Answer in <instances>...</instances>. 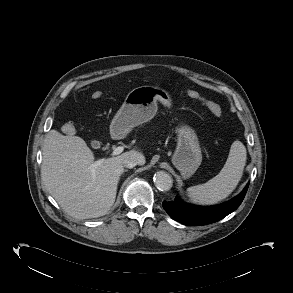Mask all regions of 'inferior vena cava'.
<instances>
[{"instance_id": "obj_1", "label": "inferior vena cava", "mask_w": 293, "mask_h": 293, "mask_svg": "<svg viewBox=\"0 0 293 293\" xmlns=\"http://www.w3.org/2000/svg\"><path fill=\"white\" fill-rule=\"evenodd\" d=\"M122 163L126 168H133L139 164V160L134 156H127L123 159Z\"/></svg>"}]
</instances>
